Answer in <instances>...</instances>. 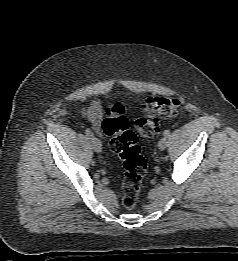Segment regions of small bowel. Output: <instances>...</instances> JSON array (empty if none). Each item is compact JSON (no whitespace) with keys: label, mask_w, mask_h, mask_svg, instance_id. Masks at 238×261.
Returning a JSON list of instances; mask_svg holds the SVG:
<instances>
[{"label":"small bowel","mask_w":238,"mask_h":261,"mask_svg":"<svg viewBox=\"0 0 238 261\" xmlns=\"http://www.w3.org/2000/svg\"><path fill=\"white\" fill-rule=\"evenodd\" d=\"M84 117L90 122L93 130L99 134L101 130V120L103 109L98 101H93L86 109L83 110Z\"/></svg>","instance_id":"c3829d8e"}]
</instances>
